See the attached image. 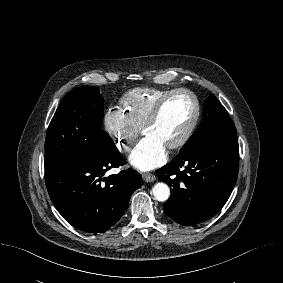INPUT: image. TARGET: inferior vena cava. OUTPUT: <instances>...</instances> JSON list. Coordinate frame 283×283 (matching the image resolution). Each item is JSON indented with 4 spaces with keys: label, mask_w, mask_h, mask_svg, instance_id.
<instances>
[{
    "label": "inferior vena cava",
    "mask_w": 283,
    "mask_h": 283,
    "mask_svg": "<svg viewBox=\"0 0 283 283\" xmlns=\"http://www.w3.org/2000/svg\"><path fill=\"white\" fill-rule=\"evenodd\" d=\"M126 149H129V147H128V146H126Z\"/></svg>",
    "instance_id": "obj_1"
}]
</instances>
